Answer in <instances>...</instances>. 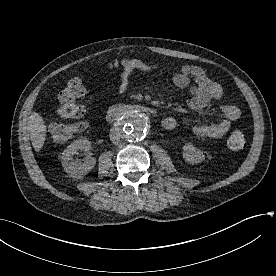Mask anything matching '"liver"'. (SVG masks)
Instances as JSON below:
<instances>
[{"mask_svg":"<svg viewBox=\"0 0 276 276\" xmlns=\"http://www.w3.org/2000/svg\"><path fill=\"white\" fill-rule=\"evenodd\" d=\"M28 130L30 132V138L32 146L35 151H40L46 139V125L40 114L33 112L28 120Z\"/></svg>","mask_w":276,"mask_h":276,"instance_id":"1","label":"liver"}]
</instances>
